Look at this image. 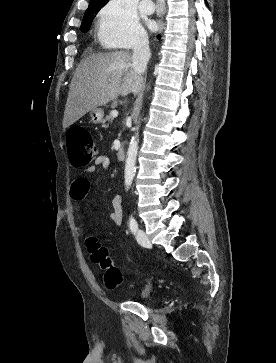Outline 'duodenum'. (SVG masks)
<instances>
[{
  "label": "duodenum",
  "mask_w": 276,
  "mask_h": 363,
  "mask_svg": "<svg viewBox=\"0 0 276 363\" xmlns=\"http://www.w3.org/2000/svg\"><path fill=\"white\" fill-rule=\"evenodd\" d=\"M126 156V152L123 146L119 147L117 150V158L118 160H124Z\"/></svg>",
  "instance_id": "duodenum-1"
}]
</instances>
